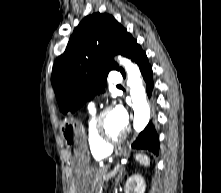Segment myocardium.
Listing matches in <instances>:
<instances>
[{"label":"myocardium","mask_w":221,"mask_h":193,"mask_svg":"<svg viewBox=\"0 0 221 193\" xmlns=\"http://www.w3.org/2000/svg\"><path fill=\"white\" fill-rule=\"evenodd\" d=\"M111 110H112L111 107H105L104 109H102L97 114L95 118V123H94V132H95L96 137L103 145L107 147H112V146L122 143L128 134V128H125L124 132L116 138L107 136L103 127V120H104L105 115L109 113Z\"/></svg>","instance_id":"1"}]
</instances>
